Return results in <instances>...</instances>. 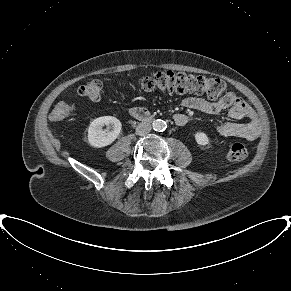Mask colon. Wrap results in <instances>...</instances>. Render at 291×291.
Instances as JSON below:
<instances>
[{
  "instance_id": "obj_1",
  "label": "colon",
  "mask_w": 291,
  "mask_h": 291,
  "mask_svg": "<svg viewBox=\"0 0 291 291\" xmlns=\"http://www.w3.org/2000/svg\"><path fill=\"white\" fill-rule=\"evenodd\" d=\"M138 87L145 92L160 93H205L211 99L224 97L228 94L226 84L219 78L201 74H186L175 71H162L152 76L144 77L138 82ZM103 83L99 79H90L78 88V94L89 101L97 102L102 93ZM73 106L58 103L51 114L54 121L69 117ZM248 156V149L243 143H234L227 152L229 160L239 162Z\"/></svg>"
}]
</instances>
